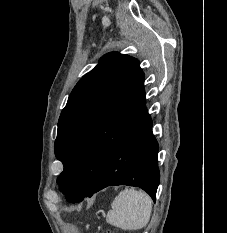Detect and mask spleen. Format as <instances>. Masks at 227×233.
Here are the masks:
<instances>
[{"label": "spleen", "instance_id": "obj_1", "mask_svg": "<svg viewBox=\"0 0 227 233\" xmlns=\"http://www.w3.org/2000/svg\"><path fill=\"white\" fill-rule=\"evenodd\" d=\"M151 212L152 200L148 194L126 188L112 202L106 221L122 230H139L148 224Z\"/></svg>", "mask_w": 227, "mask_h": 233}]
</instances>
